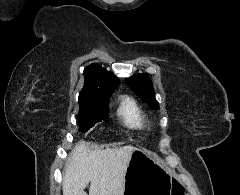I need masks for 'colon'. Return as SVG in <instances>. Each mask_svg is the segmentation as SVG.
<instances>
[{"label": "colon", "instance_id": "colon-1", "mask_svg": "<svg viewBox=\"0 0 240 195\" xmlns=\"http://www.w3.org/2000/svg\"><path fill=\"white\" fill-rule=\"evenodd\" d=\"M175 191L173 192V195H182V186H175Z\"/></svg>", "mask_w": 240, "mask_h": 195}]
</instances>
